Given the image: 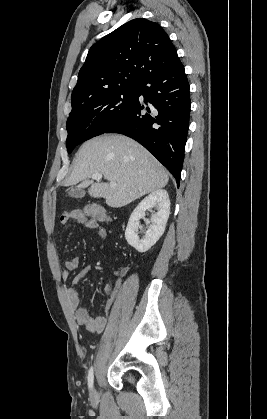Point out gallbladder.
<instances>
[{
    "mask_svg": "<svg viewBox=\"0 0 267 419\" xmlns=\"http://www.w3.org/2000/svg\"><path fill=\"white\" fill-rule=\"evenodd\" d=\"M69 195L75 198H82L84 196V191L82 190V188L78 187L75 189H71L69 191Z\"/></svg>",
    "mask_w": 267,
    "mask_h": 419,
    "instance_id": "gallbladder-1",
    "label": "gallbladder"
}]
</instances>
